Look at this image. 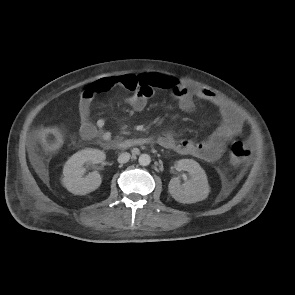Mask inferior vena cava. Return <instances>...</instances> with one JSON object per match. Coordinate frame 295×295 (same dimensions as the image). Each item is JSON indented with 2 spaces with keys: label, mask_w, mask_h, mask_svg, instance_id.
Instances as JSON below:
<instances>
[{
  "label": "inferior vena cava",
  "mask_w": 295,
  "mask_h": 295,
  "mask_svg": "<svg viewBox=\"0 0 295 295\" xmlns=\"http://www.w3.org/2000/svg\"><path fill=\"white\" fill-rule=\"evenodd\" d=\"M129 159H130V153H127V152L121 153L118 157V162L119 163H126L129 161Z\"/></svg>",
  "instance_id": "602c4592"
}]
</instances>
